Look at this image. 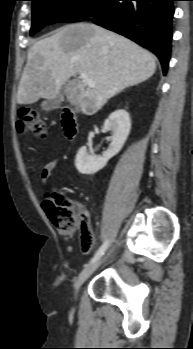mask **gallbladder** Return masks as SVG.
<instances>
[{
    "label": "gallbladder",
    "instance_id": "gallbladder-1",
    "mask_svg": "<svg viewBox=\"0 0 193 349\" xmlns=\"http://www.w3.org/2000/svg\"><path fill=\"white\" fill-rule=\"evenodd\" d=\"M65 86H63L59 92V94L52 99H47L41 103V108L44 111H51L54 109H58L61 106V103L64 100L65 95Z\"/></svg>",
    "mask_w": 193,
    "mask_h": 349
}]
</instances>
